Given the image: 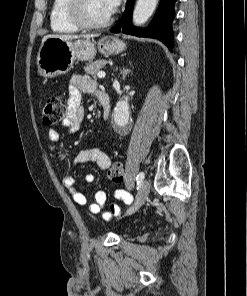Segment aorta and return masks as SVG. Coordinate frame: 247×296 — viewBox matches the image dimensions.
I'll return each instance as SVG.
<instances>
[{"mask_svg": "<svg viewBox=\"0 0 247 296\" xmlns=\"http://www.w3.org/2000/svg\"><path fill=\"white\" fill-rule=\"evenodd\" d=\"M158 0H137L133 11V23L136 26L143 25L153 14ZM129 102L125 96L118 101L114 109V122L118 127H125L129 122Z\"/></svg>", "mask_w": 247, "mask_h": 296, "instance_id": "obj_1", "label": "aorta"}]
</instances>
